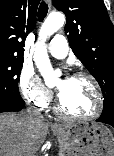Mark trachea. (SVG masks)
Listing matches in <instances>:
<instances>
[{
    "label": "trachea",
    "instance_id": "trachea-1",
    "mask_svg": "<svg viewBox=\"0 0 114 156\" xmlns=\"http://www.w3.org/2000/svg\"><path fill=\"white\" fill-rule=\"evenodd\" d=\"M47 13H48V5L45 2H41L37 13L38 20L42 22L46 17Z\"/></svg>",
    "mask_w": 114,
    "mask_h": 156
}]
</instances>
